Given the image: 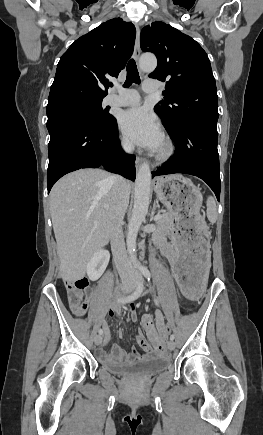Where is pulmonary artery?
Here are the masks:
<instances>
[{"instance_id":"1","label":"pulmonary artery","mask_w":263,"mask_h":435,"mask_svg":"<svg viewBox=\"0 0 263 435\" xmlns=\"http://www.w3.org/2000/svg\"><path fill=\"white\" fill-rule=\"evenodd\" d=\"M158 90V83L155 80H147L143 84L145 93H155ZM141 101L140 95L136 90L117 88L116 94L106 97L105 103L113 106H135Z\"/></svg>"}]
</instances>
